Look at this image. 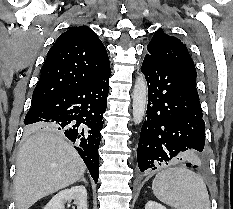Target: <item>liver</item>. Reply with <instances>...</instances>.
Listing matches in <instances>:
<instances>
[{
	"label": "liver",
	"instance_id": "1",
	"mask_svg": "<svg viewBox=\"0 0 233 209\" xmlns=\"http://www.w3.org/2000/svg\"><path fill=\"white\" fill-rule=\"evenodd\" d=\"M17 158L15 201L17 209H29L43 197L82 178L86 166L62 133L34 128Z\"/></svg>",
	"mask_w": 233,
	"mask_h": 209
}]
</instances>
